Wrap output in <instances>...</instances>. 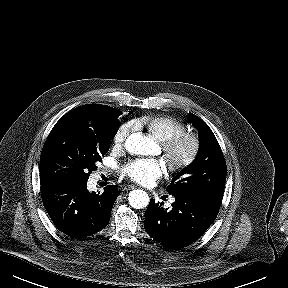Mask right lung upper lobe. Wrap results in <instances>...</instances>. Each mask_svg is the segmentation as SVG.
<instances>
[{"mask_svg":"<svg viewBox=\"0 0 288 288\" xmlns=\"http://www.w3.org/2000/svg\"><path fill=\"white\" fill-rule=\"evenodd\" d=\"M103 105L100 104H87L83 106H79L74 110L68 112V114H82L88 116L90 119L95 117L99 110L102 108Z\"/></svg>","mask_w":288,"mask_h":288,"instance_id":"1","label":"right lung upper lobe"}]
</instances>
